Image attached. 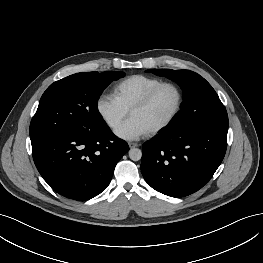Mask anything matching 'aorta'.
<instances>
[{"instance_id":"1","label":"aorta","mask_w":263,"mask_h":263,"mask_svg":"<svg viewBox=\"0 0 263 263\" xmlns=\"http://www.w3.org/2000/svg\"><path fill=\"white\" fill-rule=\"evenodd\" d=\"M142 157V151L138 148H131L129 150V158L133 161H138Z\"/></svg>"}]
</instances>
